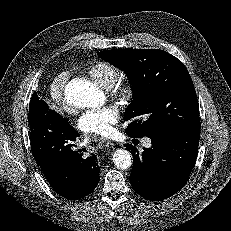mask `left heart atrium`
<instances>
[{
    "label": "left heart atrium",
    "mask_w": 231,
    "mask_h": 231,
    "mask_svg": "<svg viewBox=\"0 0 231 231\" xmlns=\"http://www.w3.org/2000/svg\"><path fill=\"white\" fill-rule=\"evenodd\" d=\"M119 110L112 105L86 112L79 120V128L88 134L108 136L119 121Z\"/></svg>",
    "instance_id": "39dd6f15"
}]
</instances>
